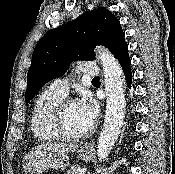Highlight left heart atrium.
<instances>
[{
	"instance_id": "left-heart-atrium-1",
	"label": "left heart atrium",
	"mask_w": 175,
	"mask_h": 174,
	"mask_svg": "<svg viewBox=\"0 0 175 174\" xmlns=\"http://www.w3.org/2000/svg\"><path fill=\"white\" fill-rule=\"evenodd\" d=\"M81 111L90 125H93L98 116V107L96 102L90 96H84L79 102Z\"/></svg>"
}]
</instances>
